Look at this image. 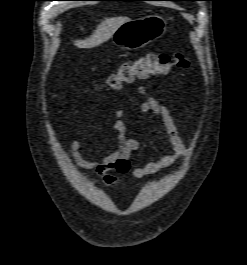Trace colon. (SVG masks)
I'll return each instance as SVG.
<instances>
[{
    "instance_id": "obj_1",
    "label": "colon",
    "mask_w": 247,
    "mask_h": 265,
    "mask_svg": "<svg viewBox=\"0 0 247 265\" xmlns=\"http://www.w3.org/2000/svg\"><path fill=\"white\" fill-rule=\"evenodd\" d=\"M188 66V60L181 53H150L137 60L121 64L118 70L98 87V91L104 93L120 90L125 83H131L136 79H147L166 74L173 68L185 69Z\"/></svg>"
}]
</instances>
